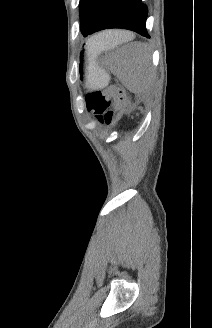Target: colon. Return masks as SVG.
Returning a JSON list of instances; mask_svg holds the SVG:
<instances>
[{
    "mask_svg": "<svg viewBox=\"0 0 212 328\" xmlns=\"http://www.w3.org/2000/svg\"><path fill=\"white\" fill-rule=\"evenodd\" d=\"M86 108L102 125H109L113 119L111 106L119 108L126 103V94L119 87H109L105 90H95L85 97Z\"/></svg>",
    "mask_w": 212,
    "mask_h": 328,
    "instance_id": "obj_1",
    "label": "colon"
}]
</instances>
